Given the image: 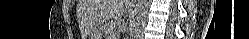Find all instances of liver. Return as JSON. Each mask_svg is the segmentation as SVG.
<instances>
[{
	"label": "liver",
	"instance_id": "liver-1",
	"mask_svg": "<svg viewBox=\"0 0 249 39\" xmlns=\"http://www.w3.org/2000/svg\"><path fill=\"white\" fill-rule=\"evenodd\" d=\"M125 0H80V18L84 35L94 25L103 24L107 19L119 18L124 13Z\"/></svg>",
	"mask_w": 249,
	"mask_h": 39
}]
</instances>
